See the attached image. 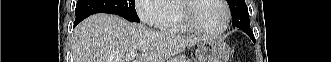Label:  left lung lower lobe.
<instances>
[{
	"label": "left lung lower lobe",
	"mask_w": 331,
	"mask_h": 62,
	"mask_svg": "<svg viewBox=\"0 0 331 62\" xmlns=\"http://www.w3.org/2000/svg\"><path fill=\"white\" fill-rule=\"evenodd\" d=\"M233 26H236V25H233ZM236 27H238V26H236ZM238 28H239V27H238ZM241 30H242V29H241ZM243 31H245V30H243ZM246 33L250 36V38H251L252 40H255L253 34H250V33H248V32H246Z\"/></svg>",
	"instance_id": "obj_1"
}]
</instances>
